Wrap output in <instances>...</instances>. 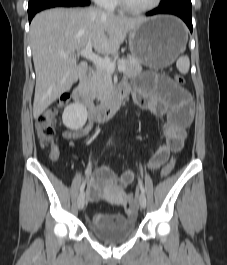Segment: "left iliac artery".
Returning <instances> with one entry per match:
<instances>
[{"mask_svg":"<svg viewBox=\"0 0 227 265\" xmlns=\"http://www.w3.org/2000/svg\"><path fill=\"white\" fill-rule=\"evenodd\" d=\"M138 184H139V188L141 190V192L144 194V187H143V184H142V181L140 180V178H138Z\"/></svg>","mask_w":227,"mask_h":265,"instance_id":"obj_1","label":"left iliac artery"}]
</instances>
